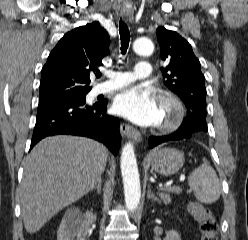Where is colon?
I'll list each match as a JSON object with an SVG mask.
<instances>
[{"instance_id": "colon-1", "label": "colon", "mask_w": 248, "mask_h": 240, "mask_svg": "<svg viewBox=\"0 0 248 240\" xmlns=\"http://www.w3.org/2000/svg\"><path fill=\"white\" fill-rule=\"evenodd\" d=\"M188 210L199 224L201 240H217L219 226L210 210L194 201L188 204Z\"/></svg>"}]
</instances>
